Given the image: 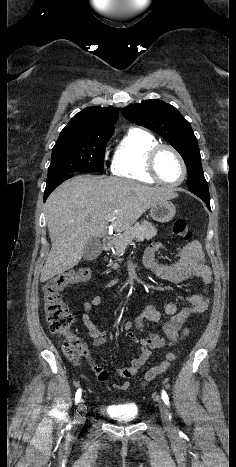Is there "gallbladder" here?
Returning <instances> with one entry per match:
<instances>
[{"label": "gallbladder", "instance_id": "1", "mask_svg": "<svg viewBox=\"0 0 236 467\" xmlns=\"http://www.w3.org/2000/svg\"><path fill=\"white\" fill-rule=\"evenodd\" d=\"M101 251H102L101 241L96 237H92L89 239V241L85 245V248L83 251V258L85 260L92 261L101 254Z\"/></svg>", "mask_w": 236, "mask_h": 467}]
</instances>
